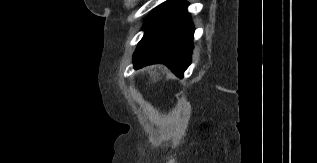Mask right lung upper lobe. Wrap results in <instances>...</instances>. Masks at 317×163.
<instances>
[{"label": "right lung upper lobe", "mask_w": 317, "mask_h": 163, "mask_svg": "<svg viewBox=\"0 0 317 163\" xmlns=\"http://www.w3.org/2000/svg\"><path fill=\"white\" fill-rule=\"evenodd\" d=\"M179 1H180V0H171L170 2H176V3H177V2H179Z\"/></svg>", "instance_id": "1"}]
</instances>
